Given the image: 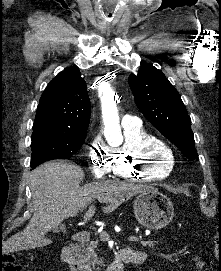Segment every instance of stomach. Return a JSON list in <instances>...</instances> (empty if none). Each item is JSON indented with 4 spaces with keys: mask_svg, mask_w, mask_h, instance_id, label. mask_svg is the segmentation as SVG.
<instances>
[{
    "mask_svg": "<svg viewBox=\"0 0 221 271\" xmlns=\"http://www.w3.org/2000/svg\"><path fill=\"white\" fill-rule=\"evenodd\" d=\"M133 211L137 221L149 229L166 227L174 215L172 201L159 191H141L134 201Z\"/></svg>",
    "mask_w": 221,
    "mask_h": 271,
    "instance_id": "0dacf381",
    "label": "stomach"
}]
</instances>
